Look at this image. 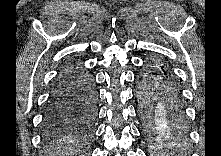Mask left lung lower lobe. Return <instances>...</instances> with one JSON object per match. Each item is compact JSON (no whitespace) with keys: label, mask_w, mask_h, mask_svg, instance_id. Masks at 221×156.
<instances>
[{"label":"left lung lower lobe","mask_w":221,"mask_h":156,"mask_svg":"<svg viewBox=\"0 0 221 156\" xmlns=\"http://www.w3.org/2000/svg\"><path fill=\"white\" fill-rule=\"evenodd\" d=\"M139 115L148 139L166 138L187 128L184 99L173 73L154 62L138 76Z\"/></svg>","instance_id":"obj_1"}]
</instances>
